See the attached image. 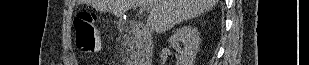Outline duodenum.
Instances as JSON below:
<instances>
[{
  "instance_id": "410a0bca",
  "label": "duodenum",
  "mask_w": 309,
  "mask_h": 65,
  "mask_svg": "<svg viewBox=\"0 0 309 65\" xmlns=\"http://www.w3.org/2000/svg\"><path fill=\"white\" fill-rule=\"evenodd\" d=\"M129 36L139 45L140 62L138 65H151L153 42L151 34L145 26L133 23L129 26Z\"/></svg>"
}]
</instances>
